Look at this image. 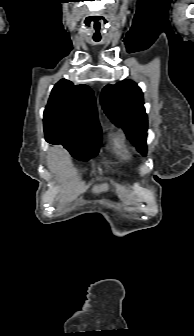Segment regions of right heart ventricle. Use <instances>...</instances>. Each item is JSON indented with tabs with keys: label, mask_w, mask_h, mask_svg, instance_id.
Returning <instances> with one entry per match:
<instances>
[{
	"label": "right heart ventricle",
	"mask_w": 194,
	"mask_h": 336,
	"mask_svg": "<svg viewBox=\"0 0 194 336\" xmlns=\"http://www.w3.org/2000/svg\"><path fill=\"white\" fill-rule=\"evenodd\" d=\"M113 145L116 153L123 158L129 156L128 149L125 146L124 137L121 133H117L113 138Z\"/></svg>",
	"instance_id": "obj_1"
}]
</instances>
